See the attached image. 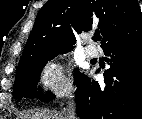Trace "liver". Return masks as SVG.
Returning a JSON list of instances; mask_svg holds the SVG:
<instances>
[{"mask_svg": "<svg viewBox=\"0 0 142 119\" xmlns=\"http://www.w3.org/2000/svg\"><path fill=\"white\" fill-rule=\"evenodd\" d=\"M28 117V116H24ZM30 119H65L62 115L53 114L50 112H36L30 116Z\"/></svg>", "mask_w": 142, "mask_h": 119, "instance_id": "1", "label": "liver"}]
</instances>
